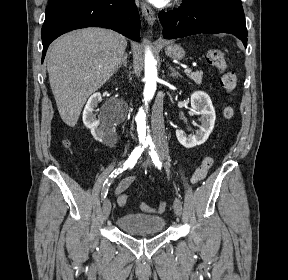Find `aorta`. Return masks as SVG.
I'll use <instances>...</instances> for the list:
<instances>
[{
	"label": "aorta",
	"instance_id": "1",
	"mask_svg": "<svg viewBox=\"0 0 288 280\" xmlns=\"http://www.w3.org/2000/svg\"><path fill=\"white\" fill-rule=\"evenodd\" d=\"M145 88H144V101L145 104L153 98L156 91V82H157V68L156 60L152 55V52L147 49L145 53ZM135 115V120H138V131L137 136L139 140H150L151 139V126H147L148 115H149V106H138V111Z\"/></svg>",
	"mask_w": 288,
	"mask_h": 280
}]
</instances>
